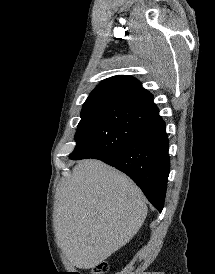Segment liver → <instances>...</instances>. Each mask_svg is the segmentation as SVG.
<instances>
[{"mask_svg": "<svg viewBox=\"0 0 215 274\" xmlns=\"http://www.w3.org/2000/svg\"><path fill=\"white\" fill-rule=\"evenodd\" d=\"M147 212L141 190L125 174L99 160L80 161L57 191L58 245L71 265L94 268L136 235Z\"/></svg>", "mask_w": 215, "mask_h": 274, "instance_id": "liver-1", "label": "liver"}]
</instances>
